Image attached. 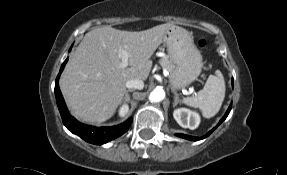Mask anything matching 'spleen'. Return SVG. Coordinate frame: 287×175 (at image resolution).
Returning <instances> with one entry per match:
<instances>
[{"instance_id":"obj_1","label":"spleen","mask_w":287,"mask_h":175,"mask_svg":"<svg viewBox=\"0 0 287 175\" xmlns=\"http://www.w3.org/2000/svg\"><path fill=\"white\" fill-rule=\"evenodd\" d=\"M225 89L223 75L220 71H216V75L208 77L202 90L193 97L185 98L183 102L188 106L199 108L205 118H211L222 106Z\"/></svg>"}]
</instances>
